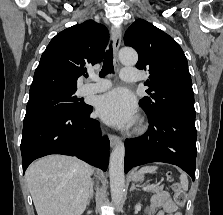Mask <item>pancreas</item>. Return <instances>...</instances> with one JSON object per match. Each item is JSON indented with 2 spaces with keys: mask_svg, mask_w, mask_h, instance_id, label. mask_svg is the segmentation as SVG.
<instances>
[{
  "mask_svg": "<svg viewBox=\"0 0 223 215\" xmlns=\"http://www.w3.org/2000/svg\"><path fill=\"white\" fill-rule=\"evenodd\" d=\"M146 191H153V193H157V191H162V187H152V190H147Z\"/></svg>",
  "mask_w": 223,
  "mask_h": 215,
  "instance_id": "pancreas-1",
  "label": "pancreas"
}]
</instances>
